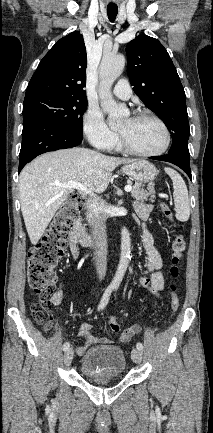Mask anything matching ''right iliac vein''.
I'll use <instances>...</instances> for the list:
<instances>
[{
	"label": "right iliac vein",
	"mask_w": 213,
	"mask_h": 433,
	"mask_svg": "<svg viewBox=\"0 0 213 433\" xmlns=\"http://www.w3.org/2000/svg\"><path fill=\"white\" fill-rule=\"evenodd\" d=\"M73 355H74V352H73L72 348H69L65 351L63 359H64V364L66 366H69L71 364V362L73 360Z\"/></svg>",
	"instance_id": "obj_1"
}]
</instances>
